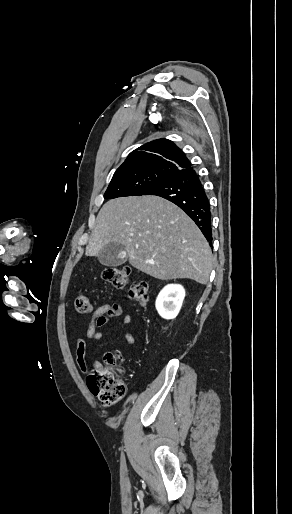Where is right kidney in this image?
<instances>
[{
	"label": "right kidney",
	"mask_w": 292,
	"mask_h": 514,
	"mask_svg": "<svg viewBox=\"0 0 292 514\" xmlns=\"http://www.w3.org/2000/svg\"><path fill=\"white\" fill-rule=\"evenodd\" d=\"M185 298V290L179 284H168L161 290L156 300V310L165 320H173L180 312Z\"/></svg>",
	"instance_id": "right-kidney-1"
}]
</instances>
